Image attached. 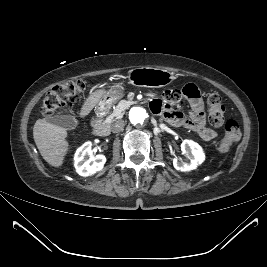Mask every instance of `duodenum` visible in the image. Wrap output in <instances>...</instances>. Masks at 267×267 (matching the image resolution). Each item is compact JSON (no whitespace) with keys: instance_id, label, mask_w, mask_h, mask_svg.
<instances>
[{"instance_id":"duodenum-1","label":"duodenum","mask_w":267,"mask_h":267,"mask_svg":"<svg viewBox=\"0 0 267 267\" xmlns=\"http://www.w3.org/2000/svg\"><path fill=\"white\" fill-rule=\"evenodd\" d=\"M92 130L97 136H105L109 131V127L99 115H96L92 120Z\"/></svg>"}]
</instances>
